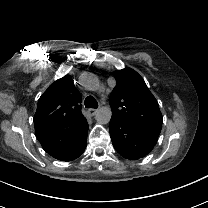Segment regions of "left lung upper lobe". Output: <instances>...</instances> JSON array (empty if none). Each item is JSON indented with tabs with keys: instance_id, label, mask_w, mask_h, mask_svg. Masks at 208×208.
<instances>
[{
	"instance_id": "1",
	"label": "left lung upper lobe",
	"mask_w": 208,
	"mask_h": 208,
	"mask_svg": "<svg viewBox=\"0 0 208 208\" xmlns=\"http://www.w3.org/2000/svg\"><path fill=\"white\" fill-rule=\"evenodd\" d=\"M116 86L109 104L112 116L127 122L154 145L162 127V114L142 77L131 68L114 72Z\"/></svg>"
}]
</instances>
